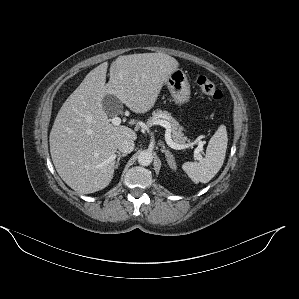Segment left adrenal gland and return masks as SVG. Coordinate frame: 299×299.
<instances>
[{"label": "left adrenal gland", "mask_w": 299, "mask_h": 299, "mask_svg": "<svg viewBox=\"0 0 299 299\" xmlns=\"http://www.w3.org/2000/svg\"><path fill=\"white\" fill-rule=\"evenodd\" d=\"M161 152H162V153H165L166 161H167L169 167H170L171 169H175L176 166H175V163H174V157H173V154H172L169 150L165 149L164 146H163V148L161 149Z\"/></svg>", "instance_id": "1"}]
</instances>
